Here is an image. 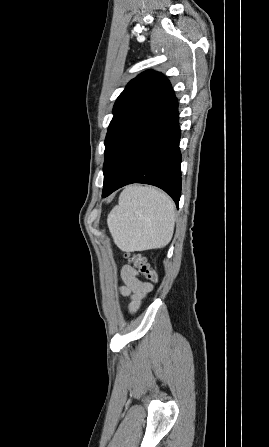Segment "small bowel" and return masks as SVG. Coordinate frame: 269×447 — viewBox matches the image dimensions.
<instances>
[{"mask_svg": "<svg viewBox=\"0 0 269 447\" xmlns=\"http://www.w3.org/2000/svg\"><path fill=\"white\" fill-rule=\"evenodd\" d=\"M121 279L123 285L120 287V292L130 299L129 311L134 313L141 306L143 299L152 291L153 286L143 281L136 269L130 265L122 267Z\"/></svg>", "mask_w": 269, "mask_h": 447, "instance_id": "c3829d8e", "label": "small bowel"}]
</instances>
